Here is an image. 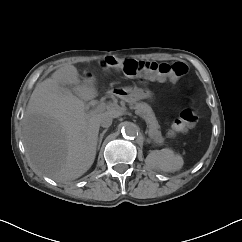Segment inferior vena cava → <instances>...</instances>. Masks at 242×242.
<instances>
[{
  "instance_id": "602c4592",
  "label": "inferior vena cava",
  "mask_w": 242,
  "mask_h": 242,
  "mask_svg": "<svg viewBox=\"0 0 242 242\" xmlns=\"http://www.w3.org/2000/svg\"><path fill=\"white\" fill-rule=\"evenodd\" d=\"M112 116L109 115L108 113H103L101 116H100V119H99V123L102 127L104 128H108L111 126L112 124Z\"/></svg>"
}]
</instances>
